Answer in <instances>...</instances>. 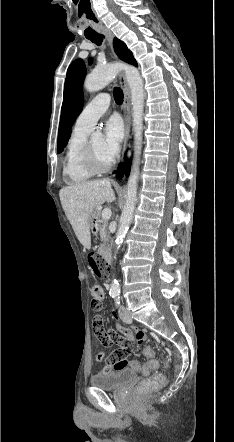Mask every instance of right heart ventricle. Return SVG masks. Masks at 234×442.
<instances>
[{"mask_svg":"<svg viewBox=\"0 0 234 442\" xmlns=\"http://www.w3.org/2000/svg\"><path fill=\"white\" fill-rule=\"evenodd\" d=\"M89 131L73 128L69 137L63 174L70 184H82L94 177L85 164V147Z\"/></svg>","mask_w":234,"mask_h":442,"instance_id":"e07e8e85","label":"right heart ventricle"}]
</instances>
